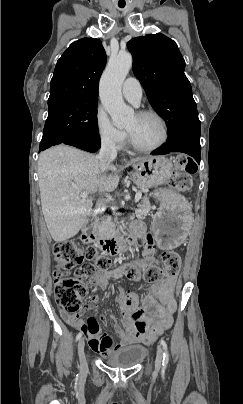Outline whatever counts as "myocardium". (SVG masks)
<instances>
[{"label":"myocardium","instance_id":"f54148a6","mask_svg":"<svg viewBox=\"0 0 243 404\" xmlns=\"http://www.w3.org/2000/svg\"><path fill=\"white\" fill-rule=\"evenodd\" d=\"M129 34H134V32H129ZM136 116H154V117H156L160 121V123L162 125L163 138H162V140L160 142H158L155 145L142 146V145L138 144L132 138L130 133L127 131L131 147L133 149L137 150V151H140V152H153V151L159 150L162 147H164L167 144V142L169 141V138H170V128H169L168 122L165 119V117L161 113H159L158 111L153 110V109L140 110V111H138L136 113Z\"/></svg>","mask_w":243,"mask_h":404}]
</instances>
